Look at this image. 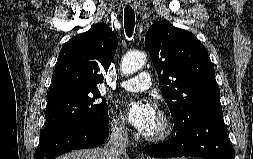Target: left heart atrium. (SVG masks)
<instances>
[{"instance_id": "left-heart-atrium-1", "label": "left heart atrium", "mask_w": 253, "mask_h": 159, "mask_svg": "<svg viewBox=\"0 0 253 159\" xmlns=\"http://www.w3.org/2000/svg\"><path fill=\"white\" fill-rule=\"evenodd\" d=\"M129 122L141 133L148 134L154 125L158 113L151 101H130L126 104Z\"/></svg>"}]
</instances>
